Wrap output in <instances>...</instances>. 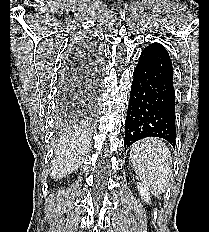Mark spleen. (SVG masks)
Returning <instances> with one entry per match:
<instances>
[{
    "label": "spleen",
    "instance_id": "1",
    "mask_svg": "<svg viewBox=\"0 0 209 232\" xmlns=\"http://www.w3.org/2000/svg\"><path fill=\"white\" fill-rule=\"evenodd\" d=\"M130 159L135 173L154 192H165L172 176L169 148L156 138L143 139L131 147Z\"/></svg>",
    "mask_w": 209,
    "mask_h": 232
}]
</instances>
